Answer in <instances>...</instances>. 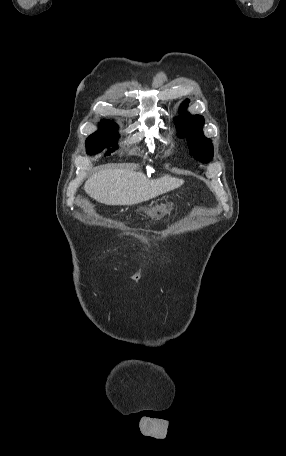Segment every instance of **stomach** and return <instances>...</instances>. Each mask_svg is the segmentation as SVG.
Masks as SVG:
<instances>
[{"label": "stomach", "instance_id": "stomach-1", "mask_svg": "<svg viewBox=\"0 0 286 456\" xmlns=\"http://www.w3.org/2000/svg\"><path fill=\"white\" fill-rule=\"evenodd\" d=\"M173 210V203L156 205L154 207L146 208L144 210L145 215L152 219H161Z\"/></svg>", "mask_w": 286, "mask_h": 456}]
</instances>
